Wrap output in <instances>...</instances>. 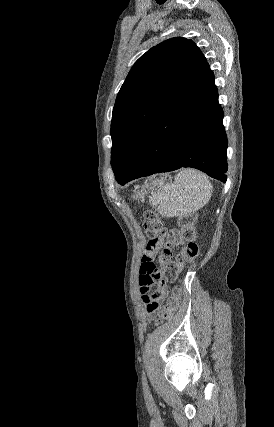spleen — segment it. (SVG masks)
<instances>
[{
  "label": "spleen",
  "instance_id": "obj_1",
  "mask_svg": "<svg viewBox=\"0 0 274 427\" xmlns=\"http://www.w3.org/2000/svg\"><path fill=\"white\" fill-rule=\"evenodd\" d=\"M152 186H158V190L152 192L151 206L162 217L195 214L211 198V184L207 176L192 168L181 170L175 176L173 184L157 180Z\"/></svg>",
  "mask_w": 274,
  "mask_h": 427
}]
</instances>
